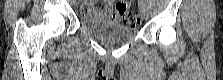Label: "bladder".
Here are the masks:
<instances>
[{"label":"bladder","mask_w":223,"mask_h":80,"mask_svg":"<svg viewBox=\"0 0 223 80\" xmlns=\"http://www.w3.org/2000/svg\"><path fill=\"white\" fill-rule=\"evenodd\" d=\"M80 23L88 34L107 42L130 40L137 34L135 27L107 19L83 17Z\"/></svg>","instance_id":"1"}]
</instances>
